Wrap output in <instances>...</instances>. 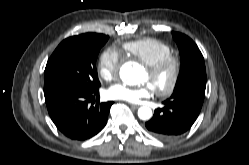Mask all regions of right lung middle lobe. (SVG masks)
<instances>
[{"mask_svg": "<svg viewBox=\"0 0 249 165\" xmlns=\"http://www.w3.org/2000/svg\"><path fill=\"white\" fill-rule=\"evenodd\" d=\"M107 35L85 33L63 40L47 62L44 81L93 90L100 86L96 59Z\"/></svg>", "mask_w": 249, "mask_h": 165, "instance_id": "1", "label": "right lung middle lobe"}]
</instances>
